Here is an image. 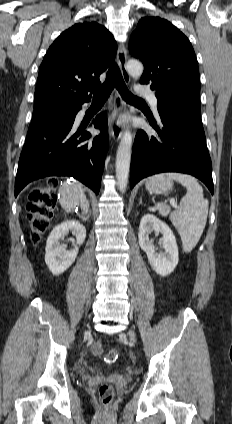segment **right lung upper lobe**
<instances>
[{"label":"right lung upper lobe","instance_id":"1","mask_svg":"<svg viewBox=\"0 0 232 424\" xmlns=\"http://www.w3.org/2000/svg\"><path fill=\"white\" fill-rule=\"evenodd\" d=\"M116 51L112 34L96 22L78 23L61 33L40 66L34 109L88 102L87 84H100L99 76Z\"/></svg>","mask_w":232,"mask_h":424}]
</instances>
